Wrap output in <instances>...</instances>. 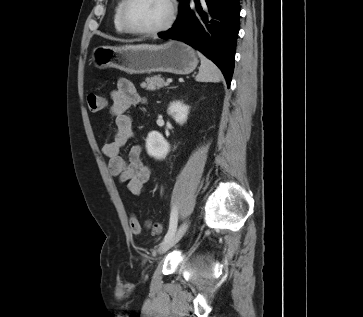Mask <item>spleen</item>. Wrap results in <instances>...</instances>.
I'll return each instance as SVG.
<instances>
[{
  "instance_id": "3e777b00",
  "label": "spleen",
  "mask_w": 363,
  "mask_h": 317,
  "mask_svg": "<svg viewBox=\"0 0 363 317\" xmlns=\"http://www.w3.org/2000/svg\"><path fill=\"white\" fill-rule=\"evenodd\" d=\"M201 60L199 73L195 79L198 82H219L222 79V73L219 68L202 53H198Z\"/></svg>"
}]
</instances>
